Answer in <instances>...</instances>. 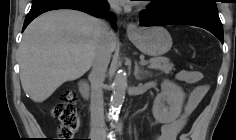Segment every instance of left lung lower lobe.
I'll use <instances>...</instances> for the list:
<instances>
[{"label":"left lung lower lobe","instance_id":"left-lung-lower-lobe-1","mask_svg":"<svg viewBox=\"0 0 236 140\" xmlns=\"http://www.w3.org/2000/svg\"><path fill=\"white\" fill-rule=\"evenodd\" d=\"M173 24L204 28L214 34L223 43V27L218 11L193 7H179L167 10L161 5H154L140 13L141 26Z\"/></svg>","mask_w":236,"mask_h":140}]
</instances>
